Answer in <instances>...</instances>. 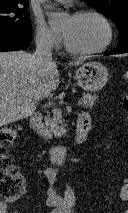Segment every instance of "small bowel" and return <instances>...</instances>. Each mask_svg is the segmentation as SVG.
<instances>
[{
    "label": "small bowel",
    "mask_w": 128,
    "mask_h": 213,
    "mask_svg": "<svg viewBox=\"0 0 128 213\" xmlns=\"http://www.w3.org/2000/svg\"><path fill=\"white\" fill-rule=\"evenodd\" d=\"M38 174L50 185L45 199V207L50 210L49 213H76L75 208H63V197L54 187L58 179L57 170L52 166H43L38 170ZM0 213H18V210L12 204L0 201Z\"/></svg>",
    "instance_id": "small-bowel-1"
}]
</instances>
